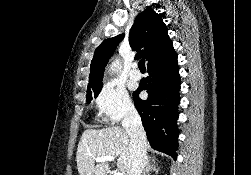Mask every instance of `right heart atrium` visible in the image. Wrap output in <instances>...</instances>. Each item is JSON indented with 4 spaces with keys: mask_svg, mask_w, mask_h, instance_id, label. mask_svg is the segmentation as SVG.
<instances>
[{
    "mask_svg": "<svg viewBox=\"0 0 251 175\" xmlns=\"http://www.w3.org/2000/svg\"><path fill=\"white\" fill-rule=\"evenodd\" d=\"M93 103L97 119L102 123L119 122L134 110L125 88L109 79L102 83Z\"/></svg>",
    "mask_w": 251,
    "mask_h": 175,
    "instance_id": "1",
    "label": "right heart atrium"
}]
</instances>
